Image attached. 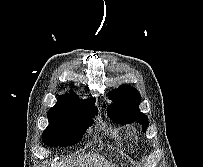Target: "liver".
I'll return each mask as SVG.
<instances>
[{
    "label": "liver",
    "instance_id": "liver-1",
    "mask_svg": "<svg viewBox=\"0 0 203 167\" xmlns=\"http://www.w3.org/2000/svg\"><path fill=\"white\" fill-rule=\"evenodd\" d=\"M90 160L92 161H89L88 158H86V160L79 158V160L73 161L64 167H110L107 163L104 162V159L102 158L93 157Z\"/></svg>",
    "mask_w": 203,
    "mask_h": 167
}]
</instances>
